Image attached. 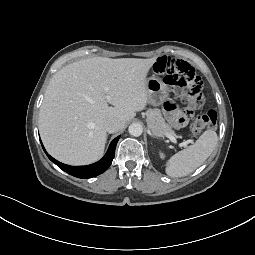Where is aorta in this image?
Listing matches in <instances>:
<instances>
[{
  "label": "aorta",
  "mask_w": 255,
  "mask_h": 255,
  "mask_svg": "<svg viewBox=\"0 0 255 255\" xmlns=\"http://www.w3.org/2000/svg\"><path fill=\"white\" fill-rule=\"evenodd\" d=\"M128 131L132 136L138 137L142 134L143 128L142 125L139 123H132L129 126Z\"/></svg>",
  "instance_id": "aorta-1"
}]
</instances>
